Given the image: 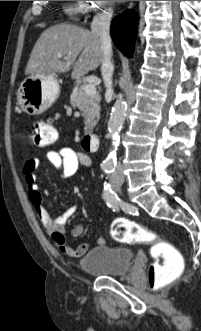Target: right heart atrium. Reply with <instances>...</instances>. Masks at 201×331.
<instances>
[{"instance_id":"1","label":"right heart atrium","mask_w":201,"mask_h":331,"mask_svg":"<svg viewBox=\"0 0 201 331\" xmlns=\"http://www.w3.org/2000/svg\"><path fill=\"white\" fill-rule=\"evenodd\" d=\"M86 19H100L109 15L110 1H77Z\"/></svg>"}]
</instances>
